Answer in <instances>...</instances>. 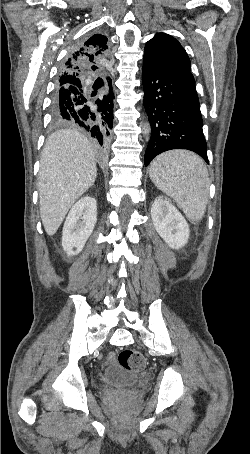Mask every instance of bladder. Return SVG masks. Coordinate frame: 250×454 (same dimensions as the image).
I'll return each mask as SVG.
<instances>
[{
	"label": "bladder",
	"mask_w": 250,
	"mask_h": 454,
	"mask_svg": "<svg viewBox=\"0 0 250 454\" xmlns=\"http://www.w3.org/2000/svg\"><path fill=\"white\" fill-rule=\"evenodd\" d=\"M140 376L129 372L121 365H110L102 373L100 381L112 388H128L140 381Z\"/></svg>",
	"instance_id": "31cf9c89"
}]
</instances>
